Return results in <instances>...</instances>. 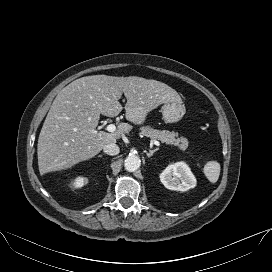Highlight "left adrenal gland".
<instances>
[{
    "label": "left adrenal gland",
    "mask_w": 272,
    "mask_h": 272,
    "mask_svg": "<svg viewBox=\"0 0 272 272\" xmlns=\"http://www.w3.org/2000/svg\"><path fill=\"white\" fill-rule=\"evenodd\" d=\"M159 150V148H156V149H154V150H149V152H146V155L148 156V157H151L156 151H158Z\"/></svg>",
    "instance_id": "obj_1"
}]
</instances>
